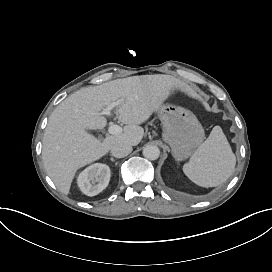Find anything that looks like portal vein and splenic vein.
Segmentation results:
<instances>
[{
  "mask_svg": "<svg viewBox=\"0 0 272 272\" xmlns=\"http://www.w3.org/2000/svg\"><path fill=\"white\" fill-rule=\"evenodd\" d=\"M124 102V98H121V99H118L117 101L115 102H112L111 104H109L106 108L103 109V111L100 113L101 115H110L111 114V110L122 104ZM109 132L111 134H119L122 132V128L118 125H112L109 127Z\"/></svg>",
  "mask_w": 272,
  "mask_h": 272,
  "instance_id": "18ae733b",
  "label": "portal vein and splenic vein"
}]
</instances>
